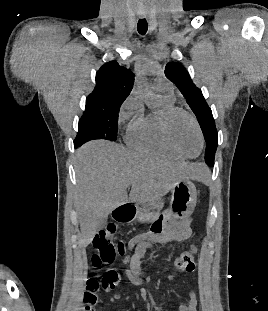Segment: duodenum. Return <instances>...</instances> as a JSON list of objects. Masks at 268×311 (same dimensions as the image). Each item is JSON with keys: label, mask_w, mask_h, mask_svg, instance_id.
<instances>
[{"label": "duodenum", "mask_w": 268, "mask_h": 311, "mask_svg": "<svg viewBox=\"0 0 268 311\" xmlns=\"http://www.w3.org/2000/svg\"><path fill=\"white\" fill-rule=\"evenodd\" d=\"M135 212V208L130 203H124L118 206L114 212L113 217L116 221L120 223L127 222Z\"/></svg>", "instance_id": "1"}]
</instances>
